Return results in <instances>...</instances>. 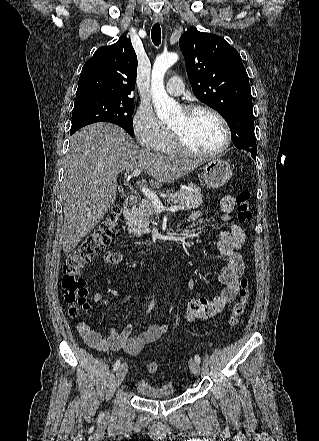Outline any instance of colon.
<instances>
[{"label": "colon", "mask_w": 319, "mask_h": 441, "mask_svg": "<svg viewBox=\"0 0 319 441\" xmlns=\"http://www.w3.org/2000/svg\"><path fill=\"white\" fill-rule=\"evenodd\" d=\"M250 196L248 190H242L235 198L238 220L241 223L250 222L252 219ZM118 223L119 209L113 208L99 225L67 256L63 265L62 290L70 316L74 317L81 310L88 309V289L82 277V269L94 256L104 251L115 236ZM240 286L239 299L233 305L228 319L229 326H235L238 323L250 298L249 280L243 278ZM147 370L150 373H156L159 370V363L155 360L149 361Z\"/></svg>", "instance_id": "1"}]
</instances>
